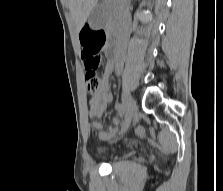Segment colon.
I'll return each mask as SVG.
<instances>
[{
    "instance_id": "obj_1",
    "label": "colon",
    "mask_w": 223,
    "mask_h": 191,
    "mask_svg": "<svg viewBox=\"0 0 223 191\" xmlns=\"http://www.w3.org/2000/svg\"><path fill=\"white\" fill-rule=\"evenodd\" d=\"M105 39V34L100 30H84L80 34L81 57L86 70L87 91L90 94L95 93L101 85L98 69L101 64L100 51ZM139 132L141 133L140 129Z\"/></svg>"
}]
</instances>
